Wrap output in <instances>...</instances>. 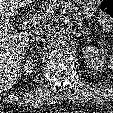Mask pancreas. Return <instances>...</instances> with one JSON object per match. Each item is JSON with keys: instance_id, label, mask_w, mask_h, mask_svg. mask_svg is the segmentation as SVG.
Segmentation results:
<instances>
[{"instance_id": "obj_1", "label": "pancreas", "mask_w": 113, "mask_h": 113, "mask_svg": "<svg viewBox=\"0 0 113 113\" xmlns=\"http://www.w3.org/2000/svg\"><path fill=\"white\" fill-rule=\"evenodd\" d=\"M49 3H45V5L42 6V13H48L50 10L57 8V7H64L69 13H71L72 18L75 20V22L78 25H82V17L81 12L78 10V8L72 4L70 1H64V0H49Z\"/></svg>"}]
</instances>
